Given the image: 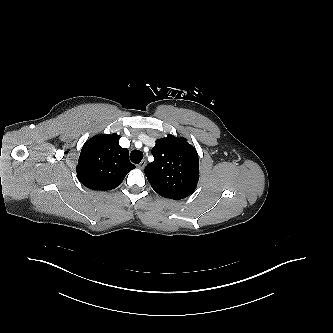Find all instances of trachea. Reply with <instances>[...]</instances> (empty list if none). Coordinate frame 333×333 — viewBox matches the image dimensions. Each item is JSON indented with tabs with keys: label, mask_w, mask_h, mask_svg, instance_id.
I'll use <instances>...</instances> for the list:
<instances>
[{
	"label": "trachea",
	"mask_w": 333,
	"mask_h": 333,
	"mask_svg": "<svg viewBox=\"0 0 333 333\" xmlns=\"http://www.w3.org/2000/svg\"><path fill=\"white\" fill-rule=\"evenodd\" d=\"M142 158H143V153L139 150H133L130 154V160L135 164H139Z\"/></svg>",
	"instance_id": "1"
}]
</instances>
